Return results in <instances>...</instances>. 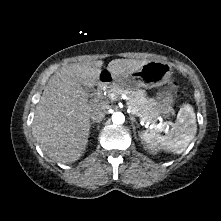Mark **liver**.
Masks as SVG:
<instances>
[{
  "label": "liver",
  "instance_id": "6515ba94",
  "mask_svg": "<svg viewBox=\"0 0 221 221\" xmlns=\"http://www.w3.org/2000/svg\"><path fill=\"white\" fill-rule=\"evenodd\" d=\"M146 60L115 59L107 71L113 81L122 80L141 69ZM102 60L70 64L51 76L32 122V135L40 148L54 162L64 164L78 160L86 149L90 113L89 94L84 87H94L100 81Z\"/></svg>",
  "mask_w": 221,
  "mask_h": 221
}]
</instances>
